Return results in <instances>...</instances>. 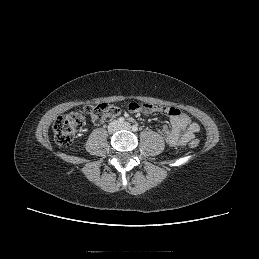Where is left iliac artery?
<instances>
[{
  "mask_svg": "<svg viewBox=\"0 0 259 259\" xmlns=\"http://www.w3.org/2000/svg\"><path fill=\"white\" fill-rule=\"evenodd\" d=\"M132 130H133L134 132L138 131L137 125H133V126H132Z\"/></svg>",
  "mask_w": 259,
  "mask_h": 259,
  "instance_id": "1",
  "label": "left iliac artery"
}]
</instances>
